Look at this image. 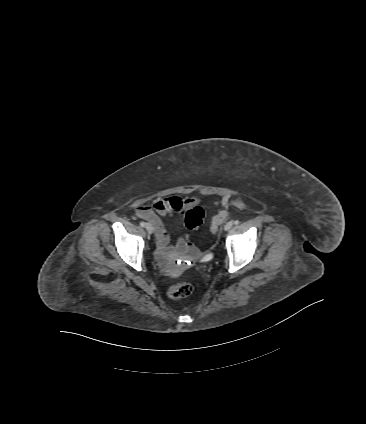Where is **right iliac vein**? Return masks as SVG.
Instances as JSON below:
<instances>
[{
	"label": "right iliac vein",
	"mask_w": 366,
	"mask_h": 424,
	"mask_svg": "<svg viewBox=\"0 0 366 424\" xmlns=\"http://www.w3.org/2000/svg\"><path fill=\"white\" fill-rule=\"evenodd\" d=\"M145 228L149 234L153 233L154 228L150 223L146 224Z\"/></svg>",
	"instance_id": "1"
}]
</instances>
